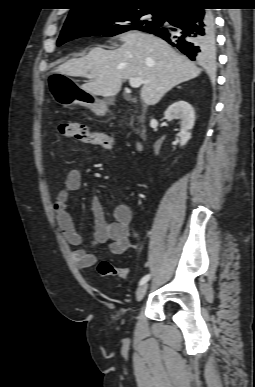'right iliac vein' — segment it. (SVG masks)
I'll return each instance as SVG.
<instances>
[{"label":"right iliac vein","mask_w":255,"mask_h":387,"mask_svg":"<svg viewBox=\"0 0 255 387\" xmlns=\"http://www.w3.org/2000/svg\"><path fill=\"white\" fill-rule=\"evenodd\" d=\"M147 289H148V284H143L137 289V291H136V300L137 301H141L144 298V296L147 292Z\"/></svg>","instance_id":"63e3f726"}]
</instances>
